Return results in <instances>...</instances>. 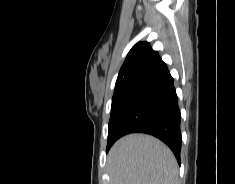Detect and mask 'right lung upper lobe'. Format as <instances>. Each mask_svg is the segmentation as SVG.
Segmentation results:
<instances>
[{
    "instance_id": "obj_1",
    "label": "right lung upper lobe",
    "mask_w": 235,
    "mask_h": 184,
    "mask_svg": "<svg viewBox=\"0 0 235 184\" xmlns=\"http://www.w3.org/2000/svg\"><path fill=\"white\" fill-rule=\"evenodd\" d=\"M148 42H139L128 53L116 80L115 90L128 89L162 63Z\"/></svg>"
}]
</instances>
